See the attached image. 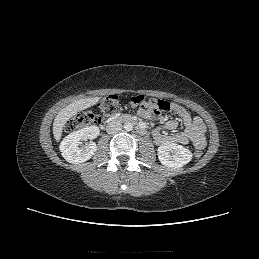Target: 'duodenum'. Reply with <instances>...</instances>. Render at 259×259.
Masks as SVG:
<instances>
[{"label":"duodenum","mask_w":259,"mask_h":259,"mask_svg":"<svg viewBox=\"0 0 259 259\" xmlns=\"http://www.w3.org/2000/svg\"><path fill=\"white\" fill-rule=\"evenodd\" d=\"M114 121H123V122H129V123H134L136 124V128L139 134L144 135L146 133V130L144 129V127H142L137 120L135 119L134 116L129 115V114H124V115H120V116H115L112 117L108 120V122H114Z\"/></svg>","instance_id":"410a0bca"}]
</instances>
